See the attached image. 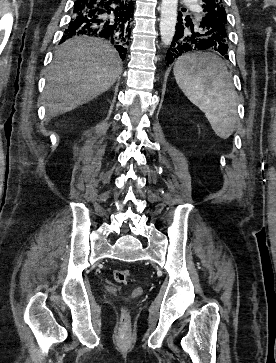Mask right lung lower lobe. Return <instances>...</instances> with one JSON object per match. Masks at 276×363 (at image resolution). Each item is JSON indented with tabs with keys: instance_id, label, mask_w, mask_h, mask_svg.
Segmentation results:
<instances>
[{
	"instance_id": "right-lung-lower-lobe-1",
	"label": "right lung lower lobe",
	"mask_w": 276,
	"mask_h": 363,
	"mask_svg": "<svg viewBox=\"0 0 276 363\" xmlns=\"http://www.w3.org/2000/svg\"><path fill=\"white\" fill-rule=\"evenodd\" d=\"M132 0H76L63 41L88 35L110 41L122 59L131 36Z\"/></svg>"
}]
</instances>
